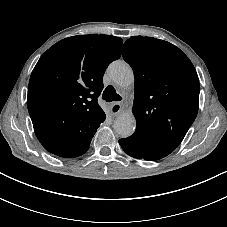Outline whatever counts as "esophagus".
Masks as SVG:
<instances>
[{"instance_id": "1", "label": "esophagus", "mask_w": 227, "mask_h": 227, "mask_svg": "<svg viewBox=\"0 0 227 227\" xmlns=\"http://www.w3.org/2000/svg\"><path fill=\"white\" fill-rule=\"evenodd\" d=\"M123 107L121 103L112 104L110 110L113 115H117L122 111Z\"/></svg>"}]
</instances>
